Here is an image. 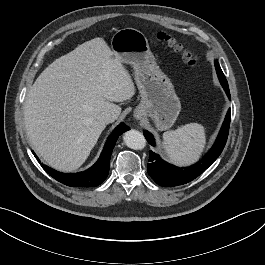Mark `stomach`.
<instances>
[{
	"instance_id": "1",
	"label": "stomach",
	"mask_w": 265,
	"mask_h": 265,
	"mask_svg": "<svg viewBox=\"0 0 265 265\" xmlns=\"http://www.w3.org/2000/svg\"><path fill=\"white\" fill-rule=\"evenodd\" d=\"M111 49L122 64L133 66L141 96L135 115L150 117L158 130L170 128L181 111L180 100L157 65L145 35L134 28L118 30L111 39Z\"/></svg>"
}]
</instances>
